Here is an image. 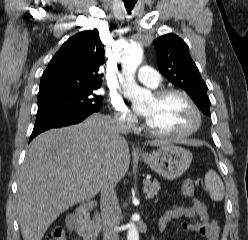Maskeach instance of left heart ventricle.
<instances>
[{"mask_svg": "<svg viewBox=\"0 0 248 240\" xmlns=\"http://www.w3.org/2000/svg\"><path fill=\"white\" fill-rule=\"evenodd\" d=\"M143 115L150 127L163 132L185 131L195 123L192 109L179 95H170L163 99L153 97Z\"/></svg>", "mask_w": 248, "mask_h": 240, "instance_id": "obj_1", "label": "left heart ventricle"}]
</instances>
